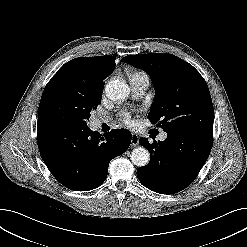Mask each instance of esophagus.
I'll list each match as a JSON object with an SVG mask.
<instances>
[{
	"mask_svg": "<svg viewBox=\"0 0 247 247\" xmlns=\"http://www.w3.org/2000/svg\"><path fill=\"white\" fill-rule=\"evenodd\" d=\"M139 144V137L136 133H132L131 136V147H136Z\"/></svg>",
	"mask_w": 247,
	"mask_h": 247,
	"instance_id": "1",
	"label": "esophagus"
}]
</instances>
